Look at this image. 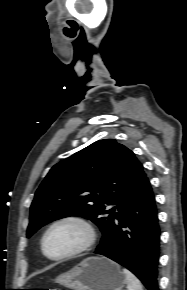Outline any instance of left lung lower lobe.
I'll return each instance as SVG.
<instances>
[{
	"label": "left lung lower lobe",
	"instance_id": "left-lung-lower-lobe-1",
	"mask_svg": "<svg viewBox=\"0 0 187 290\" xmlns=\"http://www.w3.org/2000/svg\"><path fill=\"white\" fill-rule=\"evenodd\" d=\"M159 251L157 208L150 182L145 177L120 203L118 213L95 253L129 269L148 290H159Z\"/></svg>",
	"mask_w": 187,
	"mask_h": 290
}]
</instances>
